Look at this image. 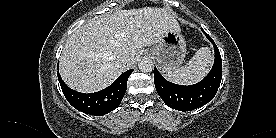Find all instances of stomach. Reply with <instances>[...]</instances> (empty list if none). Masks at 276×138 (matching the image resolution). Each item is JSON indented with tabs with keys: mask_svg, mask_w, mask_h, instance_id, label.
I'll use <instances>...</instances> for the list:
<instances>
[{
	"mask_svg": "<svg viewBox=\"0 0 276 138\" xmlns=\"http://www.w3.org/2000/svg\"><path fill=\"white\" fill-rule=\"evenodd\" d=\"M163 72L177 69L186 55V42L180 28L171 29L160 42L150 50Z\"/></svg>",
	"mask_w": 276,
	"mask_h": 138,
	"instance_id": "0dacf381",
	"label": "stomach"
}]
</instances>
